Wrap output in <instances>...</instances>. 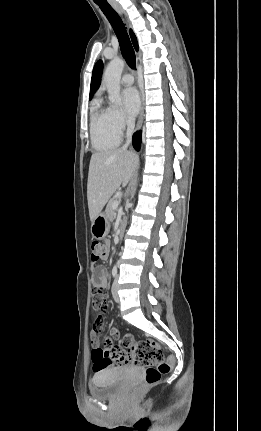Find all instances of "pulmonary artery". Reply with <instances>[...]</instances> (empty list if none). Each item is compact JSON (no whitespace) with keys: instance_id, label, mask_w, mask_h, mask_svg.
<instances>
[{"instance_id":"pulmonary-artery-1","label":"pulmonary artery","mask_w":261,"mask_h":431,"mask_svg":"<svg viewBox=\"0 0 261 431\" xmlns=\"http://www.w3.org/2000/svg\"><path fill=\"white\" fill-rule=\"evenodd\" d=\"M121 82L123 85H131L134 82V77L130 73H126L122 76Z\"/></svg>"}]
</instances>
